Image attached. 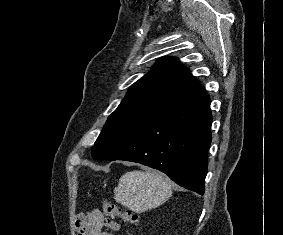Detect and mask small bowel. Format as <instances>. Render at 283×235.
Wrapping results in <instances>:
<instances>
[{"instance_id": "c3829d8e", "label": "small bowel", "mask_w": 283, "mask_h": 235, "mask_svg": "<svg viewBox=\"0 0 283 235\" xmlns=\"http://www.w3.org/2000/svg\"><path fill=\"white\" fill-rule=\"evenodd\" d=\"M76 225L79 230L78 235H113V232L119 231L121 228L118 222L105 218L97 210L91 211L86 215H78ZM104 228L107 231H102Z\"/></svg>"}]
</instances>
